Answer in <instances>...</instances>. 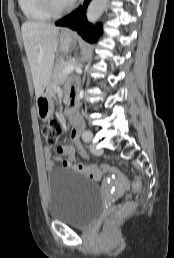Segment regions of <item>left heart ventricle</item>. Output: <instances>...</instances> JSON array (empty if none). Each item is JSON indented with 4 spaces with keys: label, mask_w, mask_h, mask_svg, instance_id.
<instances>
[{
    "label": "left heart ventricle",
    "mask_w": 174,
    "mask_h": 258,
    "mask_svg": "<svg viewBox=\"0 0 174 258\" xmlns=\"http://www.w3.org/2000/svg\"><path fill=\"white\" fill-rule=\"evenodd\" d=\"M56 2L59 4V5H65V4H68L69 3V0H56Z\"/></svg>",
    "instance_id": "1"
}]
</instances>
